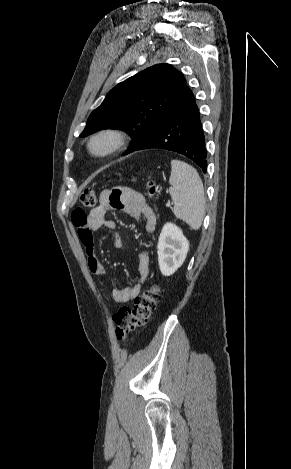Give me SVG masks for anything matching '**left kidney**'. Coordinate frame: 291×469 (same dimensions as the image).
I'll list each match as a JSON object with an SVG mask.
<instances>
[{"mask_svg": "<svg viewBox=\"0 0 291 469\" xmlns=\"http://www.w3.org/2000/svg\"><path fill=\"white\" fill-rule=\"evenodd\" d=\"M157 249L160 271L162 275L170 276L185 261L189 242L178 226L166 223L160 233Z\"/></svg>", "mask_w": 291, "mask_h": 469, "instance_id": "1", "label": "left kidney"}]
</instances>
